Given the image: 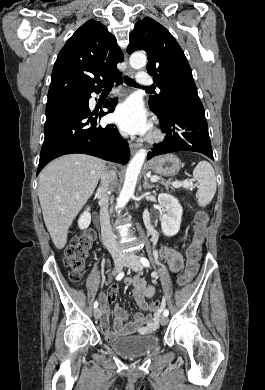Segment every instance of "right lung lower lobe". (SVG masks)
<instances>
[{
	"mask_svg": "<svg viewBox=\"0 0 265 390\" xmlns=\"http://www.w3.org/2000/svg\"><path fill=\"white\" fill-rule=\"evenodd\" d=\"M122 81L119 75L114 78ZM101 88L94 90L98 93ZM90 94L81 100L47 102L45 138L42 145L37 175L51 160L71 153H84L108 161L126 164L130 149L114 125H99L107 113L89 108ZM117 99L107 100L104 107L113 112Z\"/></svg>",
	"mask_w": 265,
	"mask_h": 390,
	"instance_id": "98d812e1",
	"label": "right lung lower lobe"
}]
</instances>
